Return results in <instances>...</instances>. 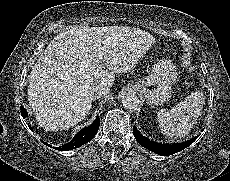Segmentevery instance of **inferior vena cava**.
Here are the masks:
<instances>
[{
	"label": "inferior vena cava",
	"mask_w": 230,
	"mask_h": 181,
	"mask_svg": "<svg viewBox=\"0 0 230 181\" xmlns=\"http://www.w3.org/2000/svg\"><path fill=\"white\" fill-rule=\"evenodd\" d=\"M109 92L108 87H104L101 85H96L90 89V96L93 99H98L104 95H106Z\"/></svg>",
	"instance_id": "1"
}]
</instances>
